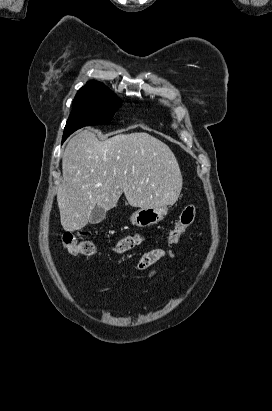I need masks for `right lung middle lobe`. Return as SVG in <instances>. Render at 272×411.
I'll use <instances>...</instances> for the list:
<instances>
[{
	"label": "right lung middle lobe",
	"mask_w": 272,
	"mask_h": 411,
	"mask_svg": "<svg viewBox=\"0 0 272 411\" xmlns=\"http://www.w3.org/2000/svg\"><path fill=\"white\" fill-rule=\"evenodd\" d=\"M121 103L109 89L76 94L63 138L84 126L109 123Z\"/></svg>",
	"instance_id": "obj_1"
}]
</instances>
